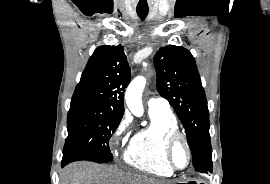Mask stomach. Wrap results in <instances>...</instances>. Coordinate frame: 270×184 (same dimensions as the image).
<instances>
[{"mask_svg": "<svg viewBox=\"0 0 270 184\" xmlns=\"http://www.w3.org/2000/svg\"><path fill=\"white\" fill-rule=\"evenodd\" d=\"M182 184H205L204 181L199 180V179H189L186 181L181 182Z\"/></svg>", "mask_w": 270, "mask_h": 184, "instance_id": "1", "label": "stomach"}]
</instances>
